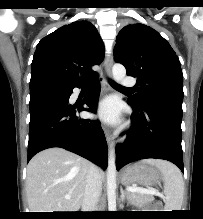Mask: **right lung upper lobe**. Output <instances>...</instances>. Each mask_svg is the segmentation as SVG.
Returning <instances> with one entry per match:
<instances>
[{"instance_id": "obj_1", "label": "right lung upper lobe", "mask_w": 203, "mask_h": 219, "mask_svg": "<svg viewBox=\"0 0 203 219\" xmlns=\"http://www.w3.org/2000/svg\"><path fill=\"white\" fill-rule=\"evenodd\" d=\"M103 59L104 45L96 28L90 22L76 21L40 40L31 64L30 82L82 83L94 74L91 67Z\"/></svg>"}]
</instances>
